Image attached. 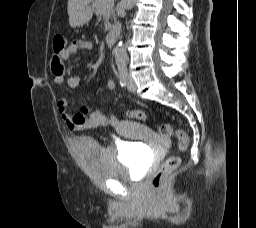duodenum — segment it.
I'll return each instance as SVG.
<instances>
[{"label": "duodenum", "mask_w": 256, "mask_h": 228, "mask_svg": "<svg viewBox=\"0 0 256 228\" xmlns=\"http://www.w3.org/2000/svg\"><path fill=\"white\" fill-rule=\"evenodd\" d=\"M119 33L120 29L118 27H115L108 32L105 37V43L108 47H112L116 43Z\"/></svg>", "instance_id": "obj_1"}]
</instances>
